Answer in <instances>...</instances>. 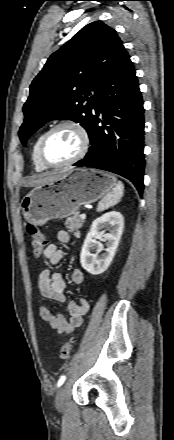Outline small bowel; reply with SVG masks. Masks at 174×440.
<instances>
[{
	"instance_id": "c3829d8e",
	"label": "small bowel",
	"mask_w": 174,
	"mask_h": 440,
	"mask_svg": "<svg viewBox=\"0 0 174 440\" xmlns=\"http://www.w3.org/2000/svg\"><path fill=\"white\" fill-rule=\"evenodd\" d=\"M57 240L60 243L66 244L70 241V236L65 231H60L57 234ZM64 253L55 244L47 245L42 257L45 261L51 264H58L63 259ZM71 279L76 285L84 283L85 277L81 270L75 269L71 273ZM39 290L45 298L55 300L58 302H65V288L66 283L59 273L45 269L41 271L38 280ZM89 309V303L85 298H81L79 302L69 301L67 310L69 319L67 320L62 313H53L47 305H42L39 309L40 317L49 324V326L60 334H71L74 330L80 327L83 323V317Z\"/></svg>"
}]
</instances>
